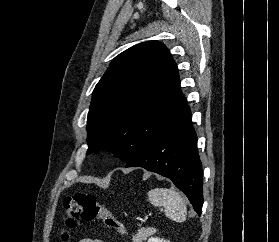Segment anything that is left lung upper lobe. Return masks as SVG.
I'll use <instances>...</instances> for the list:
<instances>
[{"instance_id": "5c2ea615", "label": "left lung upper lobe", "mask_w": 279, "mask_h": 242, "mask_svg": "<svg viewBox=\"0 0 279 242\" xmlns=\"http://www.w3.org/2000/svg\"><path fill=\"white\" fill-rule=\"evenodd\" d=\"M187 100L178 68L158 41L119 54L96 85L87 118L88 151H110L126 164L181 115Z\"/></svg>"}]
</instances>
